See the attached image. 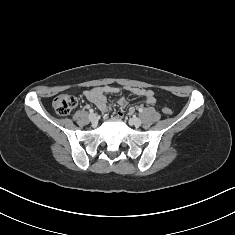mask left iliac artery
I'll return each instance as SVG.
<instances>
[{
	"label": "left iliac artery",
	"instance_id": "left-iliac-artery-1",
	"mask_svg": "<svg viewBox=\"0 0 235 235\" xmlns=\"http://www.w3.org/2000/svg\"><path fill=\"white\" fill-rule=\"evenodd\" d=\"M138 111H139V112H142V111H143V109H142V108H139V109H138Z\"/></svg>",
	"mask_w": 235,
	"mask_h": 235
}]
</instances>
